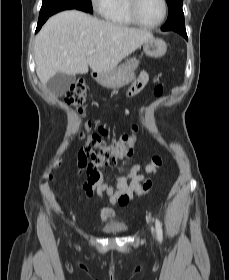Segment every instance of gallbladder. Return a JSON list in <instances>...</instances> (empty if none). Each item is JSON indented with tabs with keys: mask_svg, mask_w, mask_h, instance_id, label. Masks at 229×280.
<instances>
[{
	"mask_svg": "<svg viewBox=\"0 0 229 280\" xmlns=\"http://www.w3.org/2000/svg\"><path fill=\"white\" fill-rule=\"evenodd\" d=\"M75 79V75L57 73L47 82V88L55 96H62Z\"/></svg>",
	"mask_w": 229,
	"mask_h": 280,
	"instance_id": "1",
	"label": "gallbladder"
}]
</instances>
